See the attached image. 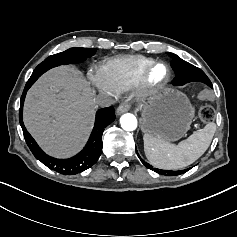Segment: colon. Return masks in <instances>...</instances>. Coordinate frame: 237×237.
Returning a JSON list of instances; mask_svg holds the SVG:
<instances>
[{
  "mask_svg": "<svg viewBox=\"0 0 237 237\" xmlns=\"http://www.w3.org/2000/svg\"><path fill=\"white\" fill-rule=\"evenodd\" d=\"M200 100H211L212 93L209 90H203L199 93ZM199 118L204 123L212 122L215 118V109L211 105H204L199 110Z\"/></svg>",
  "mask_w": 237,
  "mask_h": 237,
  "instance_id": "5ec220e1",
  "label": "colon"
}]
</instances>
